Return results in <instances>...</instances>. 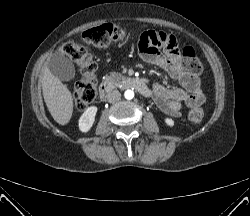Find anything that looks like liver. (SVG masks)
<instances>
[{"instance_id":"liver-1","label":"liver","mask_w":250,"mask_h":216,"mask_svg":"<svg viewBox=\"0 0 250 216\" xmlns=\"http://www.w3.org/2000/svg\"><path fill=\"white\" fill-rule=\"evenodd\" d=\"M42 90L44 101L53 119L60 125H66L73 112L72 94L48 67L43 70Z\"/></svg>"}]
</instances>
